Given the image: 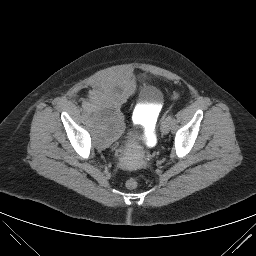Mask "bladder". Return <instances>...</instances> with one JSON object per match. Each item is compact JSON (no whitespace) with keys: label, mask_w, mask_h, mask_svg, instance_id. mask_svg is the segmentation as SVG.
I'll return each instance as SVG.
<instances>
[{"label":"bladder","mask_w":256,"mask_h":256,"mask_svg":"<svg viewBox=\"0 0 256 256\" xmlns=\"http://www.w3.org/2000/svg\"><path fill=\"white\" fill-rule=\"evenodd\" d=\"M134 91V82L125 76H108L99 80L88 99L87 113L93 136L98 146L108 147L123 134L125 124L121 105ZM139 123L145 131L154 125L164 98L162 91L153 85L141 89Z\"/></svg>","instance_id":"obj_1"}]
</instances>
